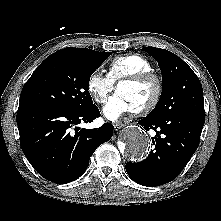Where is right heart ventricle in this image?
<instances>
[{"label": "right heart ventricle", "instance_id": "obj_1", "mask_svg": "<svg viewBox=\"0 0 221 221\" xmlns=\"http://www.w3.org/2000/svg\"><path fill=\"white\" fill-rule=\"evenodd\" d=\"M152 71L153 66L147 58L132 53L115 57L108 66L107 75L114 83H117L125 77Z\"/></svg>", "mask_w": 221, "mask_h": 221}]
</instances>
